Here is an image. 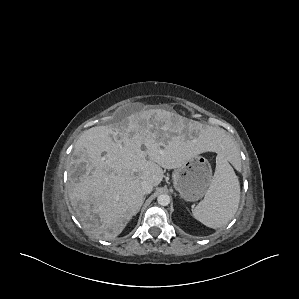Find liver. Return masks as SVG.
<instances>
[{"label": "liver", "mask_w": 299, "mask_h": 299, "mask_svg": "<svg viewBox=\"0 0 299 299\" xmlns=\"http://www.w3.org/2000/svg\"><path fill=\"white\" fill-rule=\"evenodd\" d=\"M184 121L166 110H144L82 133L74 146L68 194L90 234L116 238L145 200L141 182L159 185L162 168L176 169L200 153L229 147L231 138L223 130L191 137ZM77 171L82 172L78 181L73 178Z\"/></svg>", "instance_id": "obj_1"}]
</instances>
